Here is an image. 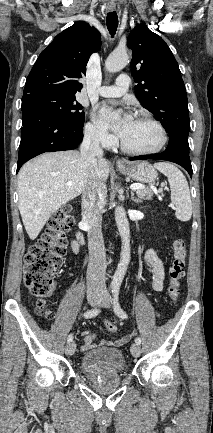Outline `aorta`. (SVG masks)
I'll return each instance as SVG.
<instances>
[{
	"mask_svg": "<svg viewBox=\"0 0 213 433\" xmlns=\"http://www.w3.org/2000/svg\"><path fill=\"white\" fill-rule=\"evenodd\" d=\"M128 62L129 56L126 51H114L106 59L105 68L107 71L115 73L122 70ZM115 220L122 240V250L120 262L113 276L111 286L118 288L123 281L130 262V228L126 212L122 206L116 207Z\"/></svg>",
	"mask_w": 213,
	"mask_h": 433,
	"instance_id": "aorta-1",
	"label": "aorta"
}]
</instances>
